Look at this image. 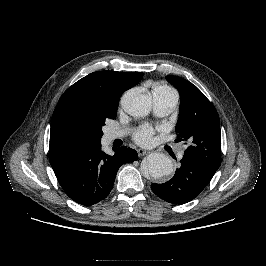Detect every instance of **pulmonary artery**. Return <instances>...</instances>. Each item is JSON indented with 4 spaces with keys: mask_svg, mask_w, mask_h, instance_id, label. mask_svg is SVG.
<instances>
[{
    "mask_svg": "<svg viewBox=\"0 0 266 266\" xmlns=\"http://www.w3.org/2000/svg\"><path fill=\"white\" fill-rule=\"evenodd\" d=\"M153 98L155 114L158 116H165L170 114L172 111H174L178 104V96L174 91L154 90ZM125 134L126 132L122 130H109L106 133V138L108 141H112L117 138L123 137ZM184 150L185 146L180 148V157L183 155Z\"/></svg>",
    "mask_w": 266,
    "mask_h": 266,
    "instance_id": "e3ab8cb5",
    "label": "pulmonary artery"
}]
</instances>
